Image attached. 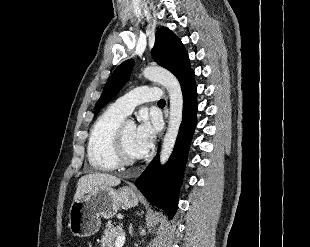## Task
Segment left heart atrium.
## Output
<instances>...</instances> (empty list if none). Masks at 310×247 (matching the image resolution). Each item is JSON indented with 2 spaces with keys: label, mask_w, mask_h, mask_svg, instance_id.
<instances>
[{
  "label": "left heart atrium",
  "mask_w": 310,
  "mask_h": 247,
  "mask_svg": "<svg viewBox=\"0 0 310 247\" xmlns=\"http://www.w3.org/2000/svg\"><path fill=\"white\" fill-rule=\"evenodd\" d=\"M157 127V121L154 117L147 114L141 116V121L136 128L134 137L133 150L136 157L145 156L152 148L157 133Z\"/></svg>",
  "instance_id": "left-heart-atrium-1"
}]
</instances>
